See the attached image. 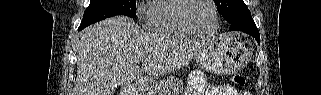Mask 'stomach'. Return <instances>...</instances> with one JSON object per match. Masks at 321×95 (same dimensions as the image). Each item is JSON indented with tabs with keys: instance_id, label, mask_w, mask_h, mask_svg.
<instances>
[{
	"instance_id": "obj_1",
	"label": "stomach",
	"mask_w": 321,
	"mask_h": 95,
	"mask_svg": "<svg viewBox=\"0 0 321 95\" xmlns=\"http://www.w3.org/2000/svg\"><path fill=\"white\" fill-rule=\"evenodd\" d=\"M252 47L238 33L226 34L206 43L197 54L198 65L212 73L233 74L251 59Z\"/></svg>"
}]
</instances>
